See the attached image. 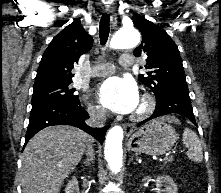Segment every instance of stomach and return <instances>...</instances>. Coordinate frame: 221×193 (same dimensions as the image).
Wrapping results in <instances>:
<instances>
[{
	"mask_svg": "<svg viewBox=\"0 0 221 193\" xmlns=\"http://www.w3.org/2000/svg\"><path fill=\"white\" fill-rule=\"evenodd\" d=\"M177 140L175 129L165 119L152 120L139 128L128 139V148L136 153L162 155Z\"/></svg>",
	"mask_w": 221,
	"mask_h": 193,
	"instance_id": "1",
	"label": "stomach"
}]
</instances>
